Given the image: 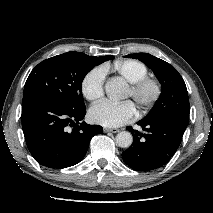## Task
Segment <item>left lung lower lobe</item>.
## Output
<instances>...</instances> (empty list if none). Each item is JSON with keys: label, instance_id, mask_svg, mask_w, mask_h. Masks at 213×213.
I'll use <instances>...</instances> for the list:
<instances>
[{"label": "left lung lower lobe", "instance_id": "0a47b994", "mask_svg": "<svg viewBox=\"0 0 213 213\" xmlns=\"http://www.w3.org/2000/svg\"><path fill=\"white\" fill-rule=\"evenodd\" d=\"M145 133L127 127L133 135V144L122 153L123 160L132 169L149 171L165 165L178 149L188 123L176 118H161L138 122Z\"/></svg>", "mask_w": 213, "mask_h": 213}]
</instances>
